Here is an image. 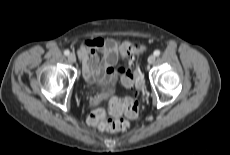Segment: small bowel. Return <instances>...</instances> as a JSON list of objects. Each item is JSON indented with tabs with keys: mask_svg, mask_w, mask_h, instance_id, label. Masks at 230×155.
<instances>
[{
	"mask_svg": "<svg viewBox=\"0 0 230 155\" xmlns=\"http://www.w3.org/2000/svg\"><path fill=\"white\" fill-rule=\"evenodd\" d=\"M128 44L119 43L113 38L95 37L86 40L78 50L84 78L91 84H99L107 89H113L118 80L125 87H130L132 81L125 74L128 66L118 65L119 61L128 64L125 57V47Z\"/></svg>",
	"mask_w": 230,
	"mask_h": 155,
	"instance_id": "obj_1",
	"label": "small bowel"
}]
</instances>
